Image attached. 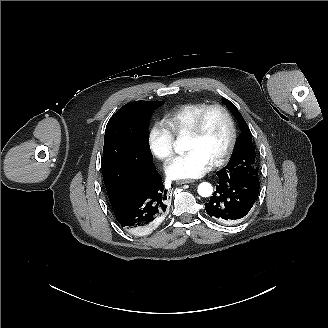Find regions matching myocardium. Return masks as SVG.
Returning <instances> with one entry per match:
<instances>
[{
	"label": "myocardium",
	"mask_w": 328,
	"mask_h": 328,
	"mask_svg": "<svg viewBox=\"0 0 328 328\" xmlns=\"http://www.w3.org/2000/svg\"><path fill=\"white\" fill-rule=\"evenodd\" d=\"M212 112H220L222 113L228 120L229 125H230V130H231V136L230 140L228 143V146L222 156L214 161L212 163L213 167H219L227 163L237 144L238 140V130H237V125L235 122V119L231 113V111L224 105L221 104H212L207 106L196 118L195 122L193 125L190 127V129L187 131L186 135L191 136V137H196L198 136L201 131L203 130L204 124L206 122L207 117L212 113Z\"/></svg>",
	"instance_id": "f54148a6"
}]
</instances>
